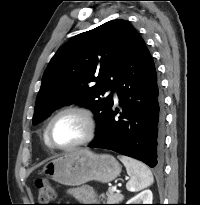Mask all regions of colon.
<instances>
[{
  "label": "colon",
  "instance_id": "colon-1",
  "mask_svg": "<svg viewBox=\"0 0 200 205\" xmlns=\"http://www.w3.org/2000/svg\"><path fill=\"white\" fill-rule=\"evenodd\" d=\"M35 187L39 202L42 203L39 205H51L47 203H51L55 199V187L46 179H37L35 182Z\"/></svg>",
  "mask_w": 200,
  "mask_h": 205
}]
</instances>
